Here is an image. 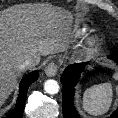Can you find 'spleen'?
Wrapping results in <instances>:
<instances>
[{
	"label": "spleen",
	"instance_id": "spleen-1",
	"mask_svg": "<svg viewBox=\"0 0 118 118\" xmlns=\"http://www.w3.org/2000/svg\"><path fill=\"white\" fill-rule=\"evenodd\" d=\"M112 89L110 84L93 85L84 93L83 108L91 115L99 116L105 113L111 103Z\"/></svg>",
	"mask_w": 118,
	"mask_h": 118
}]
</instances>
